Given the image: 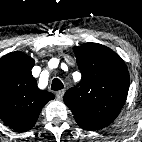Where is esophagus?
Here are the masks:
<instances>
[{
    "mask_svg": "<svg viewBox=\"0 0 142 142\" xmlns=\"http://www.w3.org/2000/svg\"><path fill=\"white\" fill-rule=\"evenodd\" d=\"M65 90H60L56 93V97L58 100H62L64 96Z\"/></svg>",
    "mask_w": 142,
    "mask_h": 142,
    "instance_id": "34e87169",
    "label": "esophagus"
}]
</instances>
